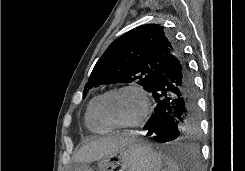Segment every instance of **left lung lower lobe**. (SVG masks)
<instances>
[{
    "label": "left lung lower lobe",
    "instance_id": "left-lung-lower-lobe-1",
    "mask_svg": "<svg viewBox=\"0 0 245 171\" xmlns=\"http://www.w3.org/2000/svg\"><path fill=\"white\" fill-rule=\"evenodd\" d=\"M150 93L156 107L143 128L146 136L155 135L160 142H179L192 132L197 125V94L193 75L180 48L165 60L162 74ZM176 153L184 160L181 167H196L199 162L192 147Z\"/></svg>",
    "mask_w": 245,
    "mask_h": 171
}]
</instances>
